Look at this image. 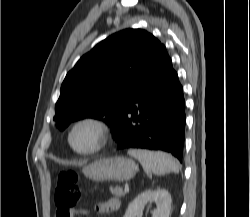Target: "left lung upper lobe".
<instances>
[{
	"mask_svg": "<svg viewBox=\"0 0 250 217\" xmlns=\"http://www.w3.org/2000/svg\"><path fill=\"white\" fill-rule=\"evenodd\" d=\"M162 44L141 29H125L83 55L61 85L54 120L60 130L94 118L114 134L138 82L152 67Z\"/></svg>",
	"mask_w": 250,
	"mask_h": 217,
	"instance_id": "5c2ea615",
	"label": "left lung upper lobe"
}]
</instances>
